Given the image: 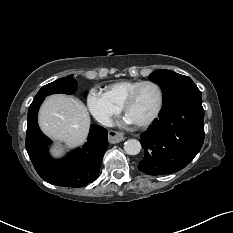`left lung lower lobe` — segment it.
<instances>
[{
    "label": "left lung lower lobe",
    "instance_id": "1",
    "mask_svg": "<svg viewBox=\"0 0 233 233\" xmlns=\"http://www.w3.org/2000/svg\"><path fill=\"white\" fill-rule=\"evenodd\" d=\"M202 97L180 100L160 112L140 142L145 156L138 169L149 175L177 172L189 164L204 141Z\"/></svg>",
    "mask_w": 233,
    "mask_h": 233
}]
</instances>
